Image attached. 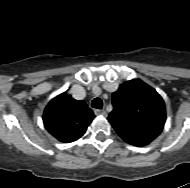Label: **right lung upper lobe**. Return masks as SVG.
<instances>
[{
	"instance_id": "1",
	"label": "right lung upper lobe",
	"mask_w": 190,
	"mask_h": 188,
	"mask_svg": "<svg viewBox=\"0 0 190 188\" xmlns=\"http://www.w3.org/2000/svg\"><path fill=\"white\" fill-rule=\"evenodd\" d=\"M94 118L93 111L84 101L75 100L64 92L48 103L43 123L57 140L70 143L83 136Z\"/></svg>"
}]
</instances>
